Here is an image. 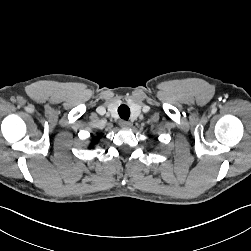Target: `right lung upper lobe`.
I'll use <instances>...</instances> for the list:
<instances>
[{
	"label": "right lung upper lobe",
	"instance_id": "obj_1",
	"mask_svg": "<svg viewBox=\"0 0 251 251\" xmlns=\"http://www.w3.org/2000/svg\"><path fill=\"white\" fill-rule=\"evenodd\" d=\"M101 137V135H99L97 138H95V140L93 141V143H96V141H98V139ZM93 145H91L90 147H92Z\"/></svg>",
	"mask_w": 251,
	"mask_h": 251
}]
</instances>
